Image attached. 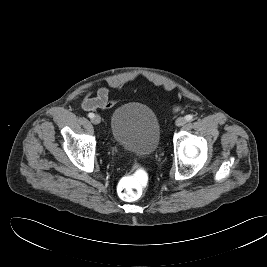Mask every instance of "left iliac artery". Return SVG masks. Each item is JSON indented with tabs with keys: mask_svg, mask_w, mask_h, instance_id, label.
<instances>
[{
	"mask_svg": "<svg viewBox=\"0 0 267 267\" xmlns=\"http://www.w3.org/2000/svg\"><path fill=\"white\" fill-rule=\"evenodd\" d=\"M185 119H186L187 121H192V120H193V115H191V114L186 115V116H185Z\"/></svg>",
	"mask_w": 267,
	"mask_h": 267,
	"instance_id": "44dca946",
	"label": "left iliac artery"
}]
</instances>
